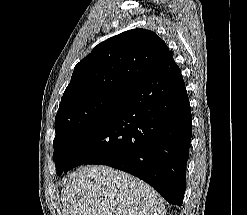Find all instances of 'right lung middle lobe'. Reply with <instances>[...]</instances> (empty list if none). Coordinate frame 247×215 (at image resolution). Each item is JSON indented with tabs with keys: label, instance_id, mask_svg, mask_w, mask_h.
I'll list each match as a JSON object with an SVG mask.
<instances>
[{
	"label": "right lung middle lobe",
	"instance_id": "right-lung-middle-lobe-1",
	"mask_svg": "<svg viewBox=\"0 0 247 215\" xmlns=\"http://www.w3.org/2000/svg\"><path fill=\"white\" fill-rule=\"evenodd\" d=\"M132 91L88 89L72 91L61 99L55 118L53 159L57 175L69 170L68 157L77 141L90 129L115 114Z\"/></svg>",
	"mask_w": 247,
	"mask_h": 215
}]
</instances>
